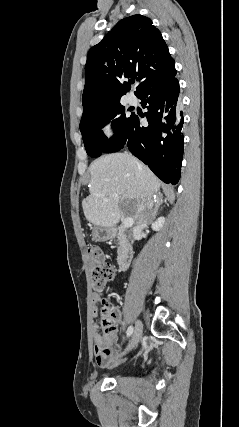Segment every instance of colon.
Returning a JSON list of instances; mask_svg holds the SVG:
<instances>
[{"instance_id":"obj_1","label":"colon","mask_w":239,"mask_h":427,"mask_svg":"<svg viewBox=\"0 0 239 427\" xmlns=\"http://www.w3.org/2000/svg\"><path fill=\"white\" fill-rule=\"evenodd\" d=\"M88 266L91 276L92 287L97 291H102L114 277V268L105 261V253L99 247H90L88 249ZM102 310V328L104 332L103 348L111 344V334L115 328V318L113 312L108 309V304L103 301Z\"/></svg>"}]
</instances>
